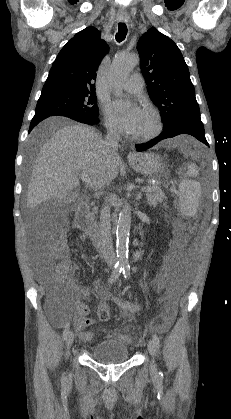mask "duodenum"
<instances>
[{
    "mask_svg": "<svg viewBox=\"0 0 231 419\" xmlns=\"http://www.w3.org/2000/svg\"><path fill=\"white\" fill-rule=\"evenodd\" d=\"M75 221L83 236L88 240L99 242V231L97 225L90 214L89 201H83L77 208Z\"/></svg>",
    "mask_w": 231,
    "mask_h": 419,
    "instance_id": "1",
    "label": "duodenum"
}]
</instances>
